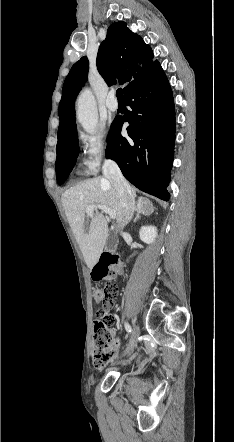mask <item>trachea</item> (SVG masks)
<instances>
[{
    "instance_id": "3493384b",
    "label": "trachea",
    "mask_w": 234,
    "mask_h": 442,
    "mask_svg": "<svg viewBox=\"0 0 234 442\" xmlns=\"http://www.w3.org/2000/svg\"><path fill=\"white\" fill-rule=\"evenodd\" d=\"M116 96L118 100H123L122 88L117 89Z\"/></svg>"
}]
</instances>
